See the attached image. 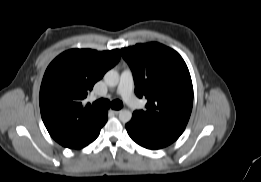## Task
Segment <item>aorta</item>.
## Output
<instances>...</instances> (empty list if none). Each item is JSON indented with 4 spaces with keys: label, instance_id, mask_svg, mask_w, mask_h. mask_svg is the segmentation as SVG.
<instances>
[{
    "label": "aorta",
    "instance_id": "obj_1",
    "mask_svg": "<svg viewBox=\"0 0 261 182\" xmlns=\"http://www.w3.org/2000/svg\"><path fill=\"white\" fill-rule=\"evenodd\" d=\"M105 83L110 87H115L119 83V73L116 70H109L104 75ZM132 113L129 110L123 109L119 112V120L122 123H127L131 120Z\"/></svg>",
    "mask_w": 261,
    "mask_h": 182
}]
</instances>
